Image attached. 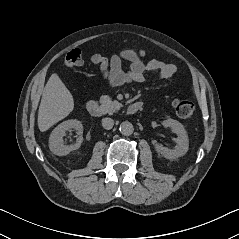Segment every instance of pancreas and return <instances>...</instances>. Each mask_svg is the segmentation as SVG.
Wrapping results in <instances>:
<instances>
[{
	"label": "pancreas",
	"instance_id": "pancreas-1",
	"mask_svg": "<svg viewBox=\"0 0 239 239\" xmlns=\"http://www.w3.org/2000/svg\"><path fill=\"white\" fill-rule=\"evenodd\" d=\"M101 106L104 109L105 113L112 114L116 110H119L122 107V104L116 100H112L108 95H103L100 98Z\"/></svg>",
	"mask_w": 239,
	"mask_h": 239
}]
</instances>
